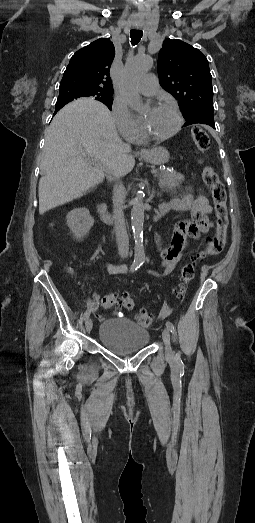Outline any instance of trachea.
Here are the masks:
<instances>
[{"label": "trachea", "instance_id": "3493384b", "mask_svg": "<svg viewBox=\"0 0 255 523\" xmlns=\"http://www.w3.org/2000/svg\"><path fill=\"white\" fill-rule=\"evenodd\" d=\"M142 35V30L132 29L130 31L131 44L137 45L140 42Z\"/></svg>", "mask_w": 255, "mask_h": 523}]
</instances>
